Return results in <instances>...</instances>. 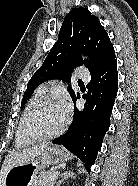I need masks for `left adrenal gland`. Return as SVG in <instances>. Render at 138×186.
<instances>
[{"label": "left adrenal gland", "mask_w": 138, "mask_h": 186, "mask_svg": "<svg viewBox=\"0 0 138 186\" xmlns=\"http://www.w3.org/2000/svg\"><path fill=\"white\" fill-rule=\"evenodd\" d=\"M73 176H74V174L71 173V172H67V171H66V172H64V173H61V174H60V178H61V179L58 181V183H57L56 186H60L64 180L68 179L69 177H73Z\"/></svg>", "instance_id": "obj_1"}]
</instances>
